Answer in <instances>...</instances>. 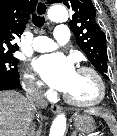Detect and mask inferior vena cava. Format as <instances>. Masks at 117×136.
<instances>
[{
  "label": "inferior vena cava",
  "mask_w": 117,
  "mask_h": 136,
  "mask_svg": "<svg viewBox=\"0 0 117 136\" xmlns=\"http://www.w3.org/2000/svg\"><path fill=\"white\" fill-rule=\"evenodd\" d=\"M27 100L28 102L32 105L34 108L32 110V113H30V124L28 125V131H27V136H38V131H37V122H38V113L39 110L36 108H46L47 107V101L44 97L43 90L38 88L37 86L33 87V90L27 95Z\"/></svg>",
  "instance_id": "1"
}]
</instances>
